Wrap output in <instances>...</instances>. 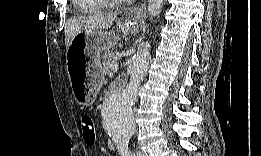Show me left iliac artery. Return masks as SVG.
<instances>
[{"instance_id": "1", "label": "left iliac artery", "mask_w": 261, "mask_h": 156, "mask_svg": "<svg viewBox=\"0 0 261 156\" xmlns=\"http://www.w3.org/2000/svg\"><path fill=\"white\" fill-rule=\"evenodd\" d=\"M129 143V138H125V139H119L116 141L117 144V149L120 152L121 155L123 156H135V153H132L129 149L128 146Z\"/></svg>"}]
</instances>
